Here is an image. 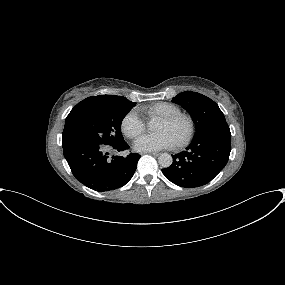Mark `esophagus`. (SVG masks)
<instances>
[{
  "label": "esophagus",
  "instance_id": "obj_1",
  "mask_svg": "<svg viewBox=\"0 0 285 285\" xmlns=\"http://www.w3.org/2000/svg\"><path fill=\"white\" fill-rule=\"evenodd\" d=\"M149 155H153V156H158L160 155V153L158 152H148Z\"/></svg>",
  "mask_w": 285,
  "mask_h": 285
}]
</instances>
